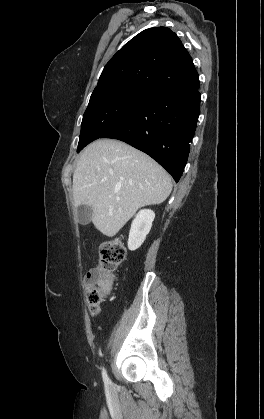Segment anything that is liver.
<instances>
[{"label": "liver", "mask_w": 264, "mask_h": 419, "mask_svg": "<svg viewBox=\"0 0 264 419\" xmlns=\"http://www.w3.org/2000/svg\"><path fill=\"white\" fill-rule=\"evenodd\" d=\"M72 188L74 206H90L95 228L113 237L139 208L164 202L172 182L145 153L118 140L99 139L80 155Z\"/></svg>", "instance_id": "1"}]
</instances>
